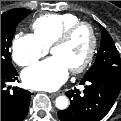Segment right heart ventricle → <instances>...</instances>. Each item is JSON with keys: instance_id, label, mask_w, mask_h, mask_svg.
<instances>
[{"instance_id": "right-heart-ventricle-1", "label": "right heart ventricle", "mask_w": 121, "mask_h": 121, "mask_svg": "<svg viewBox=\"0 0 121 121\" xmlns=\"http://www.w3.org/2000/svg\"><path fill=\"white\" fill-rule=\"evenodd\" d=\"M80 21L71 13L45 14L36 18L31 27L37 39L48 48L66 28Z\"/></svg>"}]
</instances>
